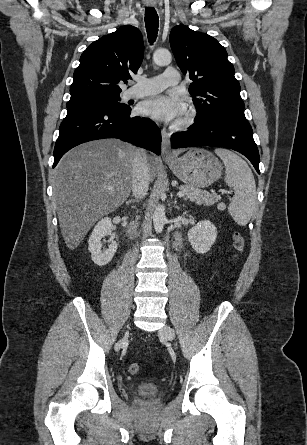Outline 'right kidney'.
I'll return each instance as SVG.
<instances>
[{"label":"right kidney","instance_id":"ca27d5eb","mask_svg":"<svg viewBox=\"0 0 307 445\" xmlns=\"http://www.w3.org/2000/svg\"><path fill=\"white\" fill-rule=\"evenodd\" d=\"M106 235H111L109 241H107L110 245H108V249L101 251V239L106 237ZM114 239L115 235L112 233L111 218L105 216V218H101L96 227H94L89 239V251L91 253L92 261H94L98 267L107 265V263H110L111 259H113L118 247Z\"/></svg>","mask_w":307,"mask_h":445}]
</instances>
